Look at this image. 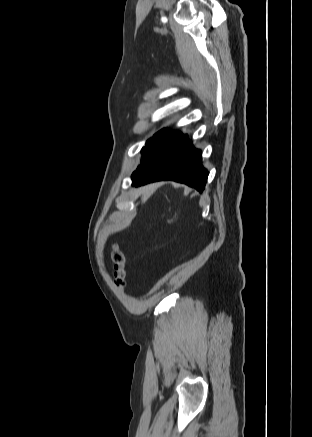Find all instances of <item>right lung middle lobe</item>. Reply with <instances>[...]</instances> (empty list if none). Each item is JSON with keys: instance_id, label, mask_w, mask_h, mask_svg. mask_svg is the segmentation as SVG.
<instances>
[{"instance_id": "right-lung-middle-lobe-1", "label": "right lung middle lobe", "mask_w": 312, "mask_h": 437, "mask_svg": "<svg viewBox=\"0 0 312 437\" xmlns=\"http://www.w3.org/2000/svg\"><path fill=\"white\" fill-rule=\"evenodd\" d=\"M178 137H180L179 133H172L163 129L146 142L145 147L142 149V153L161 148L173 142Z\"/></svg>"}]
</instances>
